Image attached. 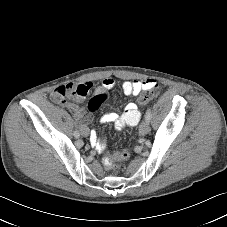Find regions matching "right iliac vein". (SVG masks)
<instances>
[{"instance_id":"obj_1","label":"right iliac vein","mask_w":227,"mask_h":227,"mask_svg":"<svg viewBox=\"0 0 227 227\" xmlns=\"http://www.w3.org/2000/svg\"><path fill=\"white\" fill-rule=\"evenodd\" d=\"M88 134H89L88 130H84L82 133V135H84V136H88Z\"/></svg>"}]
</instances>
